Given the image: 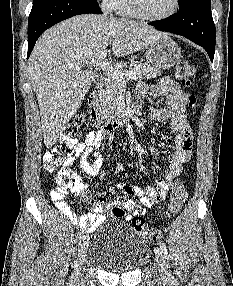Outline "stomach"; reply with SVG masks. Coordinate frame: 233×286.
Listing matches in <instances>:
<instances>
[{
	"mask_svg": "<svg viewBox=\"0 0 233 286\" xmlns=\"http://www.w3.org/2000/svg\"><path fill=\"white\" fill-rule=\"evenodd\" d=\"M145 56L151 67L161 70L173 67L181 58L180 47L169 37L150 45Z\"/></svg>",
	"mask_w": 233,
	"mask_h": 286,
	"instance_id": "obj_1",
	"label": "stomach"
}]
</instances>
